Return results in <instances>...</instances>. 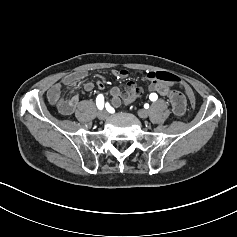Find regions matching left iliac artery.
Here are the masks:
<instances>
[{"label": "left iliac artery", "mask_w": 237, "mask_h": 237, "mask_svg": "<svg viewBox=\"0 0 237 237\" xmlns=\"http://www.w3.org/2000/svg\"><path fill=\"white\" fill-rule=\"evenodd\" d=\"M158 98L157 94L156 93H151L150 96H149V99L151 101H156Z\"/></svg>", "instance_id": "obj_1"}]
</instances>
